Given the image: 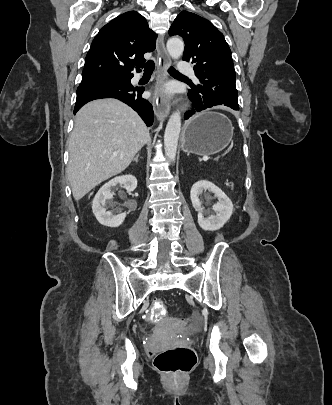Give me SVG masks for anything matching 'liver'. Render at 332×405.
Here are the masks:
<instances>
[{
	"label": "liver",
	"instance_id": "6515ba94",
	"mask_svg": "<svg viewBox=\"0 0 332 405\" xmlns=\"http://www.w3.org/2000/svg\"><path fill=\"white\" fill-rule=\"evenodd\" d=\"M149 140L142 119L124 103L99 99L84 105L69 138L67 176L75 200L124 171Z\"/></svg>",
	"mask_w": 332,
	"mask_h": 405
}]
</instances>
